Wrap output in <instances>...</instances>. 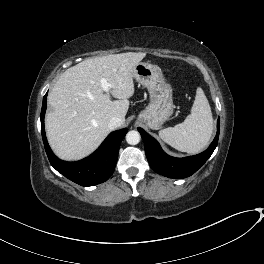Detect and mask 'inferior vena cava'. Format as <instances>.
Returning a JSON list of instances; mask_svg holds the SVG:
<instances>
[{"label": "inferior vena cava", "instance_id": "inferior-vena-cava-1", "mask_svg": "<svg viewBox=\"0 0 264 264\" xmlns=\"http://www.w3.org/2000/svg\"><path fill=\"white\" fill-rule=\"evenodd\" d=\"M123 123V120L119 117H112L108 123V127L112 130L119 126H121Z\"/></svg>", "mask_w": 264, "mask_h": 264}]
</instances>
